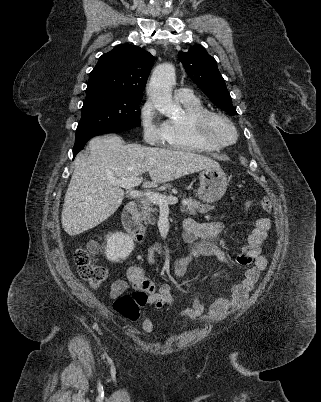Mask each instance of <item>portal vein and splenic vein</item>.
Masks as SVG:
<instances>
[{
    "label": "portal vein and splenic vein",
    "mask_w": 321,
    "mask_h": 402,
    "mask_svg": "<svg viewBox=\"0 0 321 402\" xmlns=\"http://www.w3.org/2000/svg\"><path fill=\"white\" fill-rule=\"evenodd\" d=\"M113 185H117L119 187H122L126 190H128L129 195L133 198H139V197H146L149 199L151 202L157 204L160 207H168L170 204H176L178 202V199L176 197H167L164 196L160 193L156 192H140L137 190H134L133 188L135 186H138L142 182V178L140 177H133V178H123V179H114L111 181Z\"/></svg>",
    "instance_id": "18ae733b"
}]
</instances>
